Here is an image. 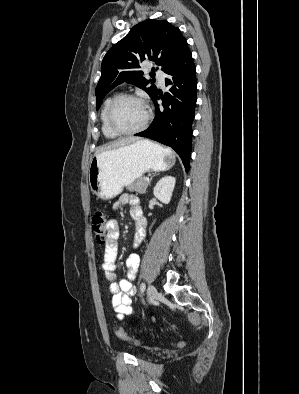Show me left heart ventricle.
Instances as JSON below:
<instances>
[{"label":"left heart ventricle","instance_id":"left-heart-ventricle-1","mask_svg":"<svg viewBox=\"0 0 299 394\" xmlns=\"http://www.w3.org/2000/svg\"><path fill=\"white\" fill-rule=\"evenodd\" d=\"M146 116V109L137 100L121 101L113 112V123L120 130H132L142 124Z\"/></svg>","mask_w":299,"mask_h":394}]
</instances>
